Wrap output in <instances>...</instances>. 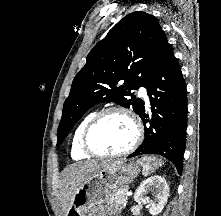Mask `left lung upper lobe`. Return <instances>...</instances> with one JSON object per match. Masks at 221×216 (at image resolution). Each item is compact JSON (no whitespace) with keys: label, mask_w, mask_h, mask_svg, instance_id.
<instances>
[{"label":"left lung upper lobe","mask_w":221,"mask_h":216,"mask_svg":"<svg viewBox=\"0 0 221 216\" xmlns=\"http://www.w3.org/2000/svg\"><path fill=\"white\" fill-rule=\"evenodd\" d=\"M167 44L166 35L153 15L136 11L120 20L90 51L85 66L75 76L63 106L57 146L81 116L99 102L132 107L140 116L144 101L135 99L131 91L147 87Z\"/></svg>","instance_id":"left-lung-upper-lobe-1"}]
</instances>
